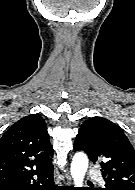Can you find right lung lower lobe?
<instances>
[{"label":"right lung lower lobe","mask_w":135,"mask_h":190,"mask_svg":"<svg viewBox=\"0 0 135 190\" xmlns=\"http://www.w3.org/2000/svg\"><path fill=\"white\" fill-rule=\"evenodd\" d=\"M38 177L37 184H30L33 176ZM42 183V185H40ZM0 190H58L53 183V166L44 171L14 172L0 176Z\"/></svg>","instance_id":"obj_1"}]
</instances>
